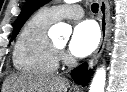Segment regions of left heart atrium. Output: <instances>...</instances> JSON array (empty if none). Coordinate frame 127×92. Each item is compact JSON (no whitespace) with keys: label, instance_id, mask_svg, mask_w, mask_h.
<instances>
[{"label":"left heart atrium","instance_id":"left-heart-atrium-1","mask_svg":"<svg viewBox=\"0 0 127 92\" xmlns=\"http://www.w3.org/2000/svg\"><path fill=\"white\" fill-rule=\"evenodd\" d=\"M99 30L93 21L86 20L78 23L72 33L69 50L76 57L91 54L99 43Z\"/></svg>","mask_w":127,"mask_h":92}]
</instances>
